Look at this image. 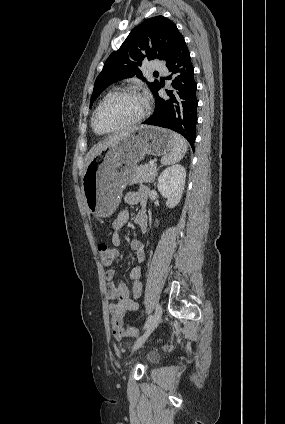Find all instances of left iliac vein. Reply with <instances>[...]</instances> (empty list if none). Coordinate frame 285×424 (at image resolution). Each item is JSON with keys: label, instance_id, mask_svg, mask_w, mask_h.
Returning a JSON list of instances; mask_svg holds the SVG:
<instances>
[{"label": "left iliac vein", "instance_id": "left-iliac-vein-1", "mask_svg": "<svg viewBox=\"0 0 285 424\" xmlns=\"http://www.w3.org/2000/svg\"><path fill=\"white\" fill-rule=\"evenodd\" d=\"M162 312H163L162 306L158 305L156 307L154 316L152 318V321H151L149 327L147 328V330L145 331L143 336H141L135 342V344L133 346V350L139 349L145 343V341L148 339V337L151 335V333L154 331V329L158 326L159 322L161 321Z\"/></svg>", "mask_w": 285, "mask_h": 424}]
</instances>
